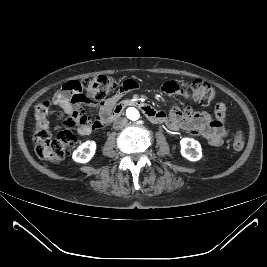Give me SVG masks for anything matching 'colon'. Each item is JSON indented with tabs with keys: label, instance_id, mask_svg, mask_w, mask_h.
<instances>
[{
	"label": "colon",
	"instance_id": "colon-1",
	"mask_svg": "<svg viewBox=\"0 0 267 267\" xmlns=\"http://www.w3.org/2000/svg\"><path fill=\"white\" fill-rule=\"evenodd\" d=\"M81 88L85 91L87 99L103 103L106 97L115 88L116 82L106 75H99L84 79ZM187 88L194 101L201 105L211 104L217 97L216 90L207 82L200 79L193 80ZM51 103L40 102L35 107L36 127L33 134V142L37 156L45 161L57 162L65 158L76 141L74 130L82 123L81 120L59 114L62 125L55 137H53L49 123L48 114ZM233 148L241 150L245 145L244 133L238 130L233 137Z\"/></svg>",
	"mask_w": 267,
	"mask_h": 267
}]
</instances>
